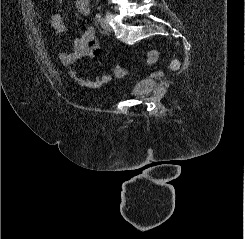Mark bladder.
<instances>
[{
    "mask_svg": "<svg viewBox=\"0 0 245 239\" xmlns=\"http://www.w3.org/2000/svg\"><path fill=\"white\" fill-rule=\"evenodd\" d=\"M155 87L153 80H140L133 84L127 92V97H138L149 93Z\"/></svg>",
    "mask_w": 245,
    "mask_h": 239,
    "instance_id": "obj_1",
    "label": "bladder"
}]
</instances>
